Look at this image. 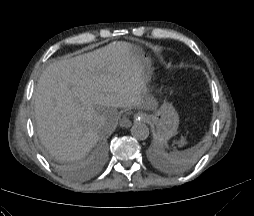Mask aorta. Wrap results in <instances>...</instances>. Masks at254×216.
Segmentation results:
<instances>
[{"instance_id":"762f6f07","label":"aorta","mask_w":254,"mask_h":216,"mask_svg":"<svg viewBox=\"0 0 254 216\" xmlns=\"http://www.w3.org/2000/svg\"><path fill=\"white\" fill-rule=\"evenodd\" d=\"M131 134L137 140H145L149 136V128L142 122H136L131 127Z\"/></svg>"}]
</instances>
